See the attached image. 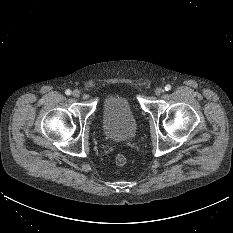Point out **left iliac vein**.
I'll use <instances>...</instances> for the list:
<instances>
[{
  "label": "left iliac vein",
  "mask_w": 233,
  "mask_h": 233,
  "mask_svg": "<svg viewBox=\"0 0 233 233\" xmlns=\"http://www.w3.org/2000/svg\"><path fill=\"white\" fill-rule=\"evenodd\" d=\"M163 92H164V89H163L162 87H157V88L155 89V94H156L157 96L161 95Z\"/></svg>",
  "instance_id": "4c4485c4"
}]
</instances>
